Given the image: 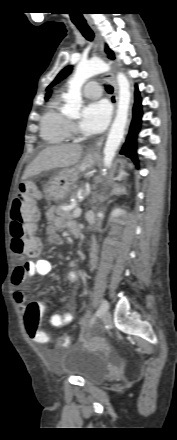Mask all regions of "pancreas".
<instances>
[{
    "label": "pancreas",
    "mask_w": 177,
    "mask_h": 440,
    "mask_svg": "<svg viewBox=\"0 0 177 440\" xmlns=\"http://www.w3.org/2000/svg\"><path fill=\"white\" fill-rule=\"evenodd\" d=\"M66 206H67V204H63L59 209H57L56 213H57V215L61 216L62 218L71 220L74 218V216H73L74 211L70 210V209L64 210L63 208Z\"/></svg>",
    "instance_id": "cf45deb5"
}]
</instances>
